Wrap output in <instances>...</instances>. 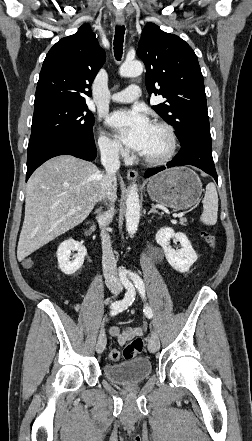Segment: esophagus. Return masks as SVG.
Listing matches in <instances>:
<instances>
[{"mask_svg":"<svg viewBox=\"0 0 252 441\" xmlns=\"http://www.w3.org/2000/svg\"><path fill=\"white\" fill-rule=\"evenodd\" d=\"M124 22H125V20H124L123 17H117L116 18V23L118 25H123ZM137 175H138V173L134 169H130V170L127 171V178H128V180H135Z\"/></svg>","mask_w":252,"mask_h":441,"instance_id":"1","label":"esophagus"}]
</instances>
